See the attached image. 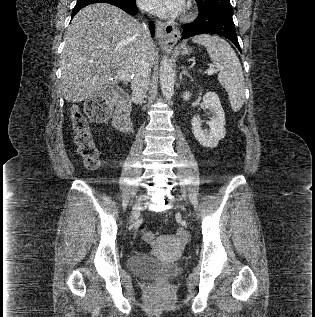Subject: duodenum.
<instances>
[{
	"mask_svg": "<svg viewBox=\"0 0 315 317\" xmlns=\"http://www.w3.org/2000/svg\"><path fill=\"white\" fill-rule=\"evenodd\" d=\"M118 109L114 117V125L124 134H129L132 130L130 118L131 104L128 97L122 93L117 96Z\"/></svg>",
	"mask_w": 315,
	"mask_h": 317,
	"instance_id": "410a0bca",
	"label": "duodenum"
}]
</instances>
